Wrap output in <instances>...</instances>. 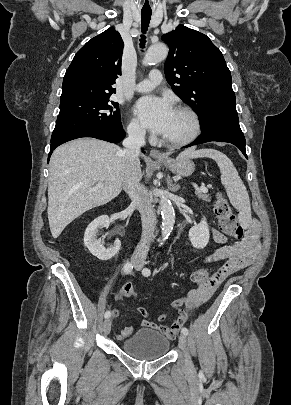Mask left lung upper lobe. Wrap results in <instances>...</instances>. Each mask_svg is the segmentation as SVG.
Listing matches in <instances>:
<instances>
[{"label": "left lung upper lobe", "mask_w": 291, "mask_h": 405, "mask_svg": "<svg viewBox=\"0 0 291 405\" xmlns=\"http://www.w3.org/2000/svg\"><path fill=\"white\" fill-rule=\"evenodd\" d=\"M169 46L164 72L174 92L207 130L222 117L238 119L231 73L221 51L204 34L185 27L162 36Z\"/></svg>", "instance_id": "5c2ea615"}]
</instances>
